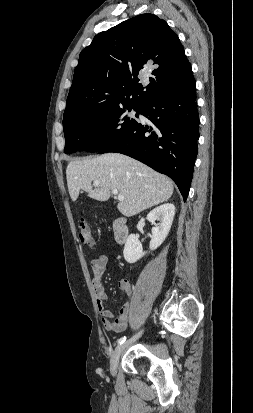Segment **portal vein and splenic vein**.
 Instances as JSON below:
<instances>
[{"label": "portal vein and splenic vein", "instance_id": "18ae733b", "mask_svg": "<svg viewBox=\"0 0 253 413\" xmlns=\"http://www.w3.org/2000/svg\"><path fill=\"white\" fill-rule=\"evenodd\" d=\"M94 184H95V185H99V181H94ZM112 194L118 195V199H119L120 201H121V200H124V196L118 194V190H116V189L112 190Z\"/></svg>", "mask_w": 253, "mask_h": 413}]
</instances>
